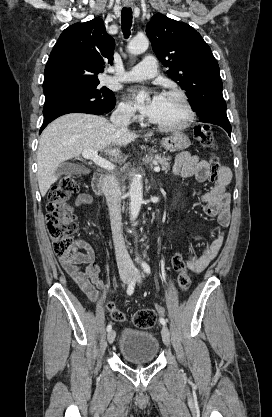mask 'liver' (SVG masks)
<instances>
[{
    "label": "liver",
    "instance_id": "6515ba94",
    "mask_svg": "<svg viewBox=\"0 0 272 417\" xmlns=\"http://www.w3.org/2000/svg\"><path fill=\"white\" fill-rule=\"evenodd\" d=\"M138 136L97 115L76 113L59 117L44 129L39 141L37 178L41 195L45 196L57 181L56 170L61 163L84 150H104L109 156L121 159V151L116 147H125Z\"/></svg>",
    "mask_w": 272,
    "mask_h": 417
}]
</instances>
